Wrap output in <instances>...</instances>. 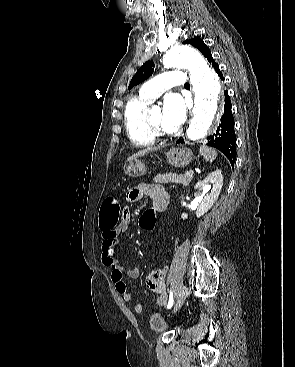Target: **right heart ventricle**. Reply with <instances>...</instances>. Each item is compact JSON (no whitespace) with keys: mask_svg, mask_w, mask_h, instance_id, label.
<instances>
[{"mask_svg":"<svg viewBox=\"0 0 295 367\" xmlns=\"http://www.w3.org/2000/svg\"><path fill=\"white\" fill-rule=\"evenodd\" d=\"M149 101L134 97L128 101L124 110V125L129 139L137 146H150L155 136L146 123V108Z\"/></svg>","mask_w":295,"mask_h":367,"instance_id":"right-heart-ventricle-1","label":"right heart ventricle"}]
</instances>
